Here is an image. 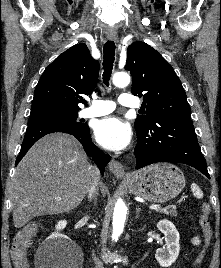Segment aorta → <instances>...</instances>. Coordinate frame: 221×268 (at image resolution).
Instances as JSON below:
<instances>
[{"instance_id": "1", "label": "aorta", "mask_w": 221, "mask_h": 268, "mask_svg": "<svg viewBox=\"0 0 221 268\" xmlns=\"http://www.w3.org/2000/svg\"><path fill=\"white\" fill-rule=\"evenodd\" d=\"M130 83V76L127 73H115L113 76V84L117 87H126ZM127 207L122 199H118L113 213V234L112 238L117 240L124 229L126 220Z\"/></svg>"}]
</instances>
